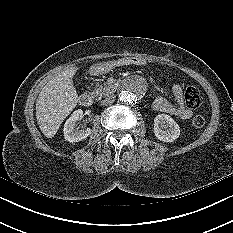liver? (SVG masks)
Segmentation results:
<instances>
[{"label":"liver","instance_id":"obj_1","mask_svg":"<svg viewBox=\"0 0 233 233\" xmlns=\"http://www.w3.org/2000/svg\"><path fill=\"white\" fill-rule=\"evenodd\" d=\"M78 67H70L52 78L36 101V118L41 132L52 138L63 120L76 107L79 97L73 85Z\"/></svg>","mask_w":233,"mask_h":233}]
</instances>
